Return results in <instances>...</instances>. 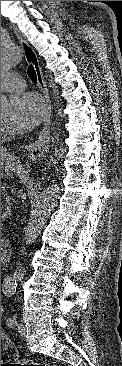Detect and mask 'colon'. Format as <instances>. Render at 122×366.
<instances>
[{
    "mask_svg": "<svg viewBox=\"0 0 122 366\" xmlns=\"http://www.w3.org/2000/svg\"><path fill=\"white\" fill-rule=\"evenodd\" d=\"M1 359L11 360V361L17 359L16 350H15L14 346L3 335L2 331H1ZM5 365H8V366H56V365H49V364H44V363H39V362H34V361H29V360L19 361L18 363L5 364Z\"/></svg>",
    "mask_w": 122,
    "mask_h": 366,
    "instance_id": "1",
    "label": "colon"
}]
</instances>
